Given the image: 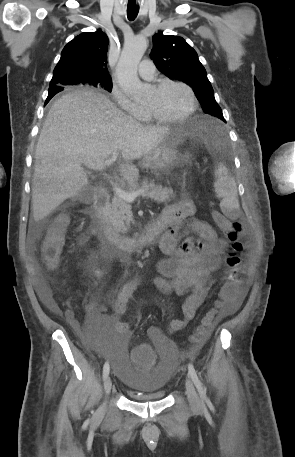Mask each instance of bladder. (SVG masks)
<instances>
[{
  "mask_svg": "<svg viewBox=\"0 0 295 457\" xmlns=\"http://www.w3.org/2000/svg\"><path fill=\"white\" fill-rule=\"evenodd\" d=\"M93 346L101 350V356L111 360L117 368L121 383L128 395L138 401L161 400L166 396V386L170 380L169 369H178V360L174 359V348L166 342H156L154 348L160 354L159 366L153 374H136L132 371L131 354L127 338H94Z\"/></svg>",
  "mask_w": 295,
  "mask_h": 457,
  "instance_id": "bladder-1",
  "label": "bladder"
}]
</instances>
